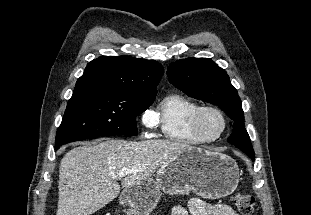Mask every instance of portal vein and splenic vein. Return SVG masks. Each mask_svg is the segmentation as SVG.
<instances>
[{
  "label": "portal vein and splenic vein",
  "instance_id": "1",
  "mask_svg": "<svg viewBox=\"0 0 311 215\" xmlns=\"http://www.w3.org/2000/svg\"><path fill=\"white\" fill-rule=\"evenodd\" d=\"M137 171H138L137 169H132V170L131 169H122L117 173L116 177L121 178V177L127 176L128 174L135 173Z\"/></svg>",
  "mask_w": 311,
  "mask_h": 215
}]
</instances>
